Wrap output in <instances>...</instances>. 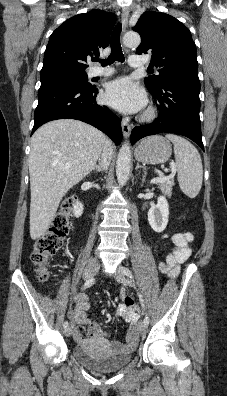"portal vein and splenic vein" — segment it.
<instances>
[{
    "mask_svg": "<svg viewBox=\"0 0 227 396\" xmlns=\"http://www.w3.org/2000/svg\"><path fill=\"white\" fill-rule=\"evenodd\" d=\"M176 171H177V169H176L175 165L172 164L171 165V174L169 176H164V174L162 172H160L159 173V177H156V178L152 179L151 183H154V184L161 183V182H163L166 179L173 178L175 176V174H176Z\"/></svg>",
    "mask_w": 227,
    "mask_h": 396,
    "instance_id": "portal-vein-and-splenic-vein-1",
    "label": "portal vein and splenic vein"
}]
</instances>
